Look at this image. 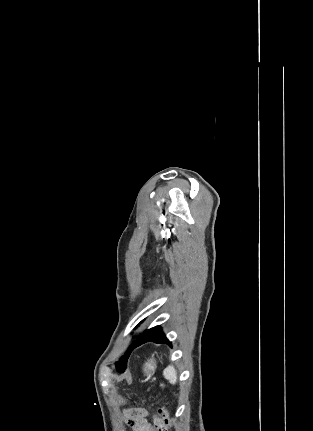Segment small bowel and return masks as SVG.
Returning <instances> with one entry per match:
<instances>
[{
  "mask_svg": "<svg viewBox=\"0 0 313 431\" xmlns=\"http://www.w3.org/2000/svg\"><path fill=\"white\" fill-rule=\"evenodd\" d=\"M148 417V410L140 408L137 409L134 413H128L126 415V422L132 428L133 431H155L154 426L151 422H149ZM158 422V419H154L155 426Z\"/></svg>",
  "mask_w": 313,
  "mask_h": 431,
  "instance_id": "c3829d8e",
  "label": "small bowel"
}]
</instances>
